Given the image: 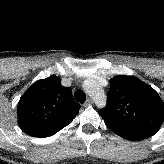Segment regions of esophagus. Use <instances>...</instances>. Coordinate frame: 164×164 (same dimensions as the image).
<instances>
[{
  "instance_id": "34e87169",
  "label": "esophagus",
  "mask_w": 164,
  "mask_h": 164,
  "mask_svg": "<svg viewBox=\"0 0 164 164\" xmlns=\"http://www.w3.org/2000/svg\"><path fill=\"white\" fill-rule=\"evenodd\" d=\"M92 104H93V100H92L91 98H89V99L85 102L84 106H89V105H92Z\"/></svg>"
}]
</instances>
